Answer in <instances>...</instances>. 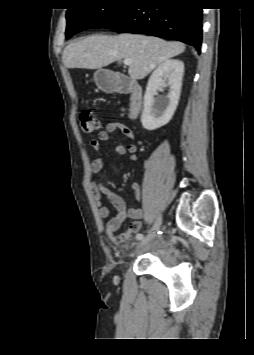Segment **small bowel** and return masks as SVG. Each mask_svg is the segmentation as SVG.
I'll list each match as a JSON object with an SVG mask.
<instances>
[{
  "label": "small bowel",
  "mask_w": 254,
  "mask_h": 355,
  "mask_svg": "<svg viewBox=\"0 0 254 355\" xmlns=\"http://www.w3.org/2000/svg\"><path fill=\"white\" fill-rule=\"evenodd\" d=\"M117 131H121L130 141L135 139L134 133L127 125L121 122L113 121L109 122L103 130H101L95 139H92L90 146L94 151H99L101 148V142H107L111 135ZM137 147L135 144L130 143L128 145H116L114 152L118 156H127L129 160H137ZM104 166V160L102 158L95 159L91 164V171L94 174L99 173ZM131 191L135 200L140 201L141 191L137 183L131 185ZM92 198L98 206V212L100 218L105 222V232L113 244H122L129 241L135 233H137L141 227V219L143 218L142 209L136 208L131 205H127L124 198L119 194L113 192L109 188L103 185L100 179L95 178L91 184ZM105 196L109 203L114 207L117 214L114 217H110L109 209L102 205V197ZM132 219V223L129 228L122 233H117L120 226L127 220Z\"/></svg>",
  "instance_id": "obj_1"
}]
</instances>
